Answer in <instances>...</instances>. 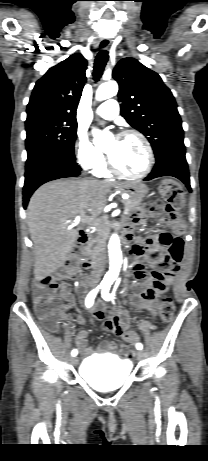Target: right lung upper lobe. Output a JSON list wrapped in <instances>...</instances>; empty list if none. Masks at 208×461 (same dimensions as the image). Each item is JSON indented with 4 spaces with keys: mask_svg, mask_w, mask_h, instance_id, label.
I'll return each instance as SVG.
<instances>
[{
    "mask_svg": "<svg viewBox=\"0 0 208 461\" xmlns=\"http://www.w3.org/2000/svg\"><path fill=\"white\" fill-rule=\"evenodd\" d=\"M86 59L79 53L51 67L36 82L27 105V117L76 120V110L86 82Z\"/></svg>",
    "mask_w": 208,
    "mask_h": 461,
    "instance_id": "1",
    "label": "right lung upper lobe"
}]
</instances>
